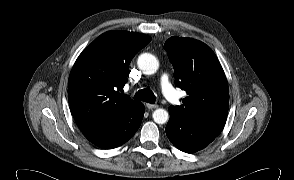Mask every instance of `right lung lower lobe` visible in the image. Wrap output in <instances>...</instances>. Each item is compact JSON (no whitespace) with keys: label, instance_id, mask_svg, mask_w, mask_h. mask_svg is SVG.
Masks as SVG:
<instances>
[{"label":"right lung lower lobe","instance_id":"right-lung-lower-lobe-1","mask_svg":"<svg viewBox=\"0 0 294 180\" xmlns=\"http://www.w3.org/2000/svg\"><path fill=\"white\" fill-rule=\"evenodd\" d=\"M145 107L136 101L109 123L80 128L83 135L98 147L115 148L128 141L140 127Z\"/></svg>","mask_w":294,"mask_h":180}]
</instances>
